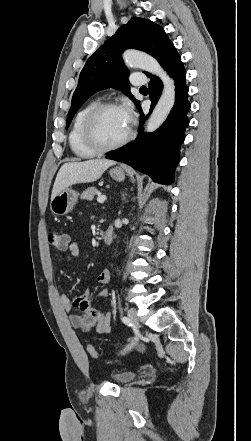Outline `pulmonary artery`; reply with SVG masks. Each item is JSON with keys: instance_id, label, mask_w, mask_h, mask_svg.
I'll return each mask as SVG.
<instances>
[{"instance_id": "1", "label": "pulmonary artery", "mask_w": 251, "mask_h": 441, "mask_svg": "<svg viewBox=\"0 0 251 441\" xmlns=\"http://www.w3.org/2000/svg\"><path fill=\"white\" fill-rule=\"evenodd\" d=\"M130 81L135 86H142V85H145L146 78L144 75H142L140 73H133L131 75Z\"/></svg>"}]
</instances>
